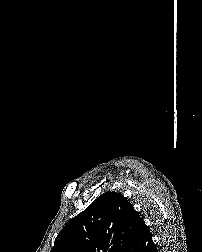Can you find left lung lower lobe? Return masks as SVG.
<instances>
[{
  "mask_svg": "<svg viewBox=\"0 0 202 252\" xmlns=\"http://www.w3.org/2000/svg\"><path fill=\"white\" fill-rule=\"evenodd\" d=\"M132 252H158L149 228L143 220L137 226Z\"/></svg>",
  "mask_w": 202,
  "mask_h": 252,
  "instance_id": "obj_1",
  "label": "left lung lower lobe"
}]
</instances>
